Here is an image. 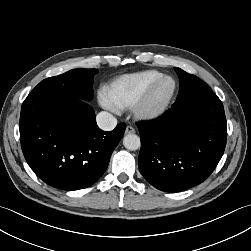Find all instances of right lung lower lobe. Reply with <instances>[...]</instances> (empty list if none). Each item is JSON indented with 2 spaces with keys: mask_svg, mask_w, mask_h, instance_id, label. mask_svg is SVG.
I'll use <instances>...</instances> for the list:
<instances>
[{
  "mask_svg": "<svg viewBox=\"0 0 251 251\" xmlns=\"http://www.w3.org/2000/svg\"><path fill=\"white\" fill-rule=\"evenodd\" d=\"M125 129L120 123L113 131H102L93 108L76 98L30 93L21 107L24 157L41 180L62 190L94 184Z\"/></svg>",
  "mask_w": 251,
  "mask_h": 251,
  "instance_id": "98d812e1",
  "label": "right lung lower lobe"
}]
</instances>
